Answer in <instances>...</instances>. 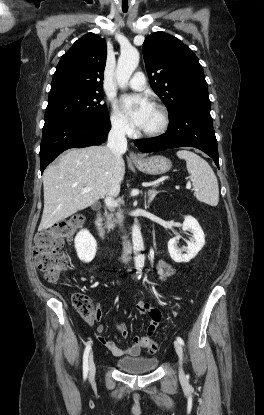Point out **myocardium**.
Segmentation results:
<instances>
[{
  "instance_id": "1",
  "label": "myocardium",
  "mask_w": 264,
  "mask_h": 415,
  "mask_svg": "<svg viewBox=\"0 0 264 415\" xmlns=\"http://www.w3.org/2000/svg\"><path fill=\"white\" fill-rule=\"evenodd\" d=\"M152 107L157 109L160 113V124L154 130L139 131L137 133L138 136L147 137V138L158 137L161 134H163L168 129V127L170 125V115H169V112H168L167 108L163 104H160V103H154L152 105Z\"/></svg>"
}]
</instances>
